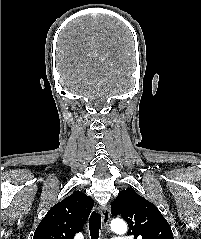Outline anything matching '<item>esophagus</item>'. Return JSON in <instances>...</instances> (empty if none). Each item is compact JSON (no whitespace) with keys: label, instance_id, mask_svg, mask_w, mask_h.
Listing matches in <instances>:
<instances>
[{"label":"esophagus","instance_id":"34e87169","mask_svg":"<svg viewBox=\"0 0 201 239\" xmlns=\"http://www.w3.org/2000/svg\"><path fill=\"white\" fill-rule=\"evenodd\" d=\"M99 211L102 215L103 225L105 228H107L110 221V208L107 205L102 206V207H99Z\"/></svg>","mask_w":201,"mask_h":239}]
</instances>
